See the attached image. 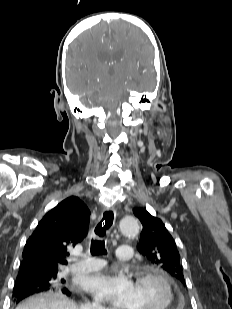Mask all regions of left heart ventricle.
Instances as JSON below:
<instances>
[{
	"instance_id": "obj_1",
	"label": "left heart ventricle",
	"mask_w": 232,
	"mask_h": 309,
	"mask_svg": "<svg viewBox=\"0 0 232 309\" xmlns=\"http://www.w3.org/2000/svg\"><path fill=\"white\" fill-rule=\"evenodd\" d=\"M165 298V291L158 282L150 279L135 282L129 309H160Z\"/></svg>"
}]
</instances>
